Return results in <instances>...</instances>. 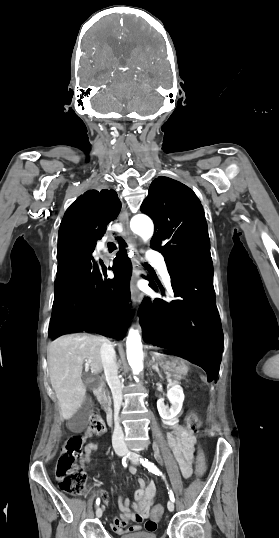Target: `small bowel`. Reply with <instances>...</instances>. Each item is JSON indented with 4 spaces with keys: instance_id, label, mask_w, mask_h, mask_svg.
<instances>
[{
    "instance_id": "obj_1",
    "label": "small bowel",
    "mask_w": 279,
    "mask_h": 538,
    "mask_svg": "<svg viewBox=\"0 0 279 538\" xmlns=\"http://www.w3.org/2000/svg\"><path fill=\"white\" fill-rule=\"evenodd\" d=\"M171 432L166 436V442L172 448L175 458L180 467V471L184 478H189L192 474V458L194 451L195 438L180 424H168ZM97 449L95 443H89L85 446L84 456L81 460L82 465L88 464L91 461L92 453ZM158 452V448L156 447ZM136 467L131 466L129 473L135 475ZM139 488L135 492V504H132L129 499L123 496L118 497V506L120 515L111 524L112 530L117 534L126 532H136L141 529L153 531L156 529V523L153 520L146 521L149 516L150 509L154 503L157 486L151 481L147 486L145 481L140 478L138 480ZM105 503H109L108 495H105ZM135 524L129 526V522Z\"/></svg>"
}]
</instances>
